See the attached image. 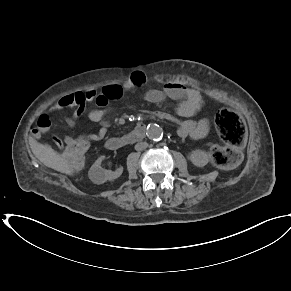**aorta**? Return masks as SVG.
I'll use <instances>...</instances> for the list:
<instances>
[{
	"label": "aorta",
	"mask_w": 291,
	"mask_h": 291,
	"mask_svg": "<svg viewBox=\"0 0 291 291\" xmlns=\"http://www.w3.org/2000/svg\"><path fill=\"white\" fill-rule=\"evenodd\" d=\"M147 136L153 140H160L163 136V129L157 124H151L147 128Z\"/></svg>",
	"instance_id": "762f6f07"
}]
</instances>
